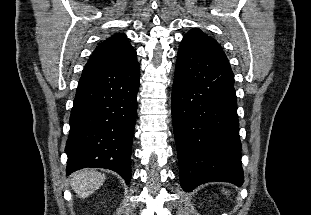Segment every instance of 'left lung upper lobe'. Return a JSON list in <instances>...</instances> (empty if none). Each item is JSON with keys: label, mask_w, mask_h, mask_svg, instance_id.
<instances>
[{"label": "left lung upper lobe", "mask_w": 311, "mask_h": 215, "mask_svg": "<svg viewBox=\"0 0 311 215\" xmlns=\"http://www.w3.org/2000/svg\"><path fill=\"white\" fill-rule=\"evenodd\" d=\"M186 36H195V37L206 36V37H208V38H210V39H212L213 41L216 42V40H214L213 38L207 36L205 33H203L198 28H194V29L190 30L189 32L186 33Z\"/></svg>", "instance_id": "left-lung-upper-lobe-1"}]
</instances>
